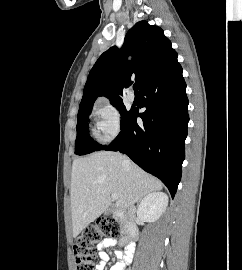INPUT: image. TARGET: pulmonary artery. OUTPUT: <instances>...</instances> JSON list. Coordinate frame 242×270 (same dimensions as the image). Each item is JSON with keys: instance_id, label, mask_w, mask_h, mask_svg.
Returning a JSON list of instances; mask_svg holds the SVG:
<instances>
[{"instance_id": "e3ab8cb5", "label": "pulmonary artery", "mask_w": 242, "mask_h": 270, "mask_svg": "<svg viewBox=\"0 0 242 270\" xmlns=\"http://www.w3.org/2000/svg\"><path fill=\"white\" fill-rule=\"evenodd\" d=\"M127 97H128V99L130 101H134L135 100V94H134V92L133 91H129Z\"/></svg>"}]
</instances>
